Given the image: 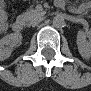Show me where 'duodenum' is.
Here are the masks:
<instances>
[{"instance_id": "1", "label": "duodenum", "mask_w": 91, "mask_h": 91, "mask_svg": "<svg viewBox=\"0 0 91 91\" xmlns=\"http://www.w3.org/2000/svg\"><path fill=\"white\" fill-rule=\"evenodd\" d=\"M24 20L23 19H17L12 24V30L14 32H22L24 29Z\"/></svg>"}]
</instances>
